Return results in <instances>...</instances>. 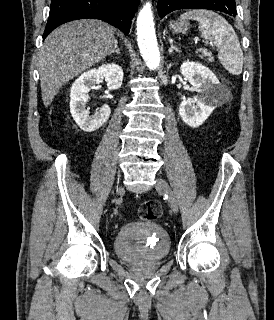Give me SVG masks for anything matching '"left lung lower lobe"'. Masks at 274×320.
Returning <instances> with one entry per match:
<instances>
[{
  "mask_svg": "<svg viewBox=\"0 0 274 320\" xmlns=\"http://www.w3.org/2000/svg\"><path fill=\"white\" fill-rule=\"evenodd\" d=\"M179 9H210L225 12L236 17L235 0H158V14L163 18Z\"/></svg>",
  "mask_w": 274,
  "mask_h": 320,
  "instance_id": "1",
  "label": "left lung lower lobe"
}]
</instances>
